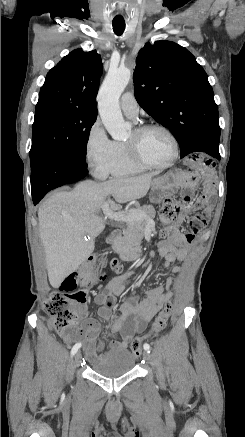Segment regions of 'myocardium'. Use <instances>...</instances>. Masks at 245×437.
<instances>
[{
  "instance_id": "myocardium-1",
  "label": "myocardium",
  "mask_w": 245,
  "mask_h": 437,
  "mask_svg": "<svg viewBox=\"0 0 245 437\" xmlns=\"http://www.w3.org/2000/svg\"><path fill=\"white\" fill-rule=\"evenodd\" d=\"M149 130H159L163 132L171 141L173 146V155L170 158L169 161L161 164L148 162L145 159H143L140 154L137 151V148L133 142H125L124 146L126 149V152L129 156V158L136 164L144 167V168H151V169H164L172 166L179 157V142L176 138V136L172 133L171 130H169L167 127L156 124V123H150V124H143L139 125L136 128H134L133 132L135 135H140L146 131Z\"/></svg>"
}]
</instances>
